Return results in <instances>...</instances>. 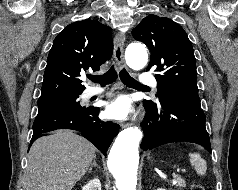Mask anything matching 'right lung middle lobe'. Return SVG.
I'll return each mask as SVG.
<instances>
[{"label":"right lung middle lobe","instance_id":"dd1d6c3e","mask_svg":"<svg viewBox=\"0 0 238 190\" xmlns=\"http://www.w3.org/2000/svg\"><path fill=\"white\" fill-rule=\"evenodd\" d=\"M79 95H72L54 99L38 100V114L42 116L54 112L85 108L78 101Z\"/></svg>","mask_w":238,"mask_h":190}]
</instances>
